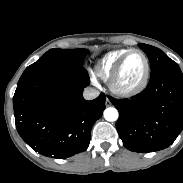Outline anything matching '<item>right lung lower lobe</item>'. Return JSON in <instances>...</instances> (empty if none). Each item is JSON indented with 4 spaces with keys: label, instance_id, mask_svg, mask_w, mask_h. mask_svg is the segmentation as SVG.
Masks as SVG:
<instances>
[{
    "label": "right lung lower lobe",
    "instance_id": "1",
    "mask_svg": "<svg viewBox=\"0 0 183 183\" xmlns=\"http://www.w3.org/2000/svg\"><path fill=\"white\" fill-rule=\"evenodd\" d=\"M89 83L82 65L22 74L13 97L15 124L35 152L65 159L88 148L106 99L101 93L85 100L83 89Z\"/></svg>",
    "mask_w": 183,
    "mask_h": 183
}]
</instances>
